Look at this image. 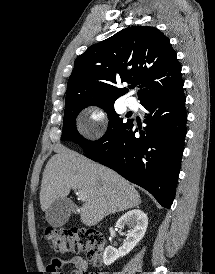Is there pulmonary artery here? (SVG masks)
I'll return each instance as SVG.
<instances>
[{"mask_svg":"<svg viewBox=\"0 0 215 274\" xmlns=\"http://www.w3.org/2000/svg\"><path fill=\"white\" fill-rule=\"evenodd\" d=\"M125 103L128 106V108H130L131 110H135L138 107L137 101L133 97L127 98L125 100Z\"/></svg>","mask_w":215,"mask_h":274,"instance_id":"e3ab8cb5","label":"pulmonary artery"}]
</instances>
